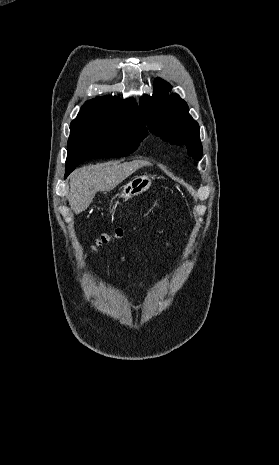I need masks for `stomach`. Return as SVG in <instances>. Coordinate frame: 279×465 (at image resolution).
<instances>
[{"label": "stomach", "mask_w": 279, "mask_h": 465, "mask_svg": "<svg viewBox=\"0 0 279 465\" xmlns=\"http://www.w3.org/2000/svg\"><path fill=\"white\" fill-rule=\"evenodd\" d=\"M152 185V178L150 175L144 174L133 178L130 182L122 187L121 192L118 194L119 198L125 201L147 191Z\"/></svg>", "instance_id": "0dacf381"}]
</instances>
